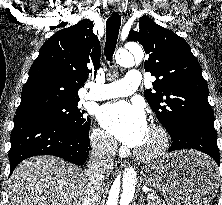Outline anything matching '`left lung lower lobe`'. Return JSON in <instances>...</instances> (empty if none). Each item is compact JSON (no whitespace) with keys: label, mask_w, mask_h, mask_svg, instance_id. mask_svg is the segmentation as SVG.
Returning <instances> with one entry per match:
<instances>
[{"label":"left lung lower lobe","mask_w":222,"mask_h":205,"mask_svg":"<svg viewBox=\"0 0 222 205\" xmlns=\"http://www.w3.org/2000/svg\"><path fill=\"white\" fill-rule=\"evenodd\" d=\"M171 139L172 144L169 152L180 149H195L209 155L218 165L220 164L214 123L192 121L183 125Z\"/></svg>","instance_id":"obj_1"}]
</instances>
